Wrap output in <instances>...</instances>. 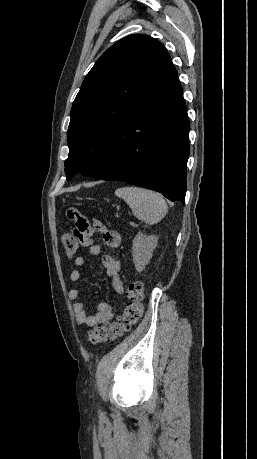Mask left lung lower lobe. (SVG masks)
I'll use <instances>...</instances> for the list:
<instances>
[{"instance_id": "obj_1", "label": "left lung lower lobe", "mask_w": 257, "mask_h": 459, "mask_svg": "<svg viewBox=\"0 0 257 459\" xmlns=\"http://www.w3.org/2000/svg\"><path fill=\"white\" fill-rule=\"evenodd\" d=\"M189 119L169 57L118 126L111 155L95 180L124 181L185 201Z\"/></svg>"}]
</instances>
